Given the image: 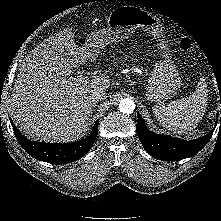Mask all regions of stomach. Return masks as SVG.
I'll use <instances>...</instances> for the list:
<instances>
[{"label":"stomach","instance_id":"obj_1","mask_svg":"<svg viewBox=\"0 0 221 221\" xmlns=\"http://www.w3.org/2000/svg\"><path fill=\"white\" fill-rule=\"evenodd\" d=\"M138 28L157 39L159 48L165 50L160 20L136 6H119L113 9L107 19V27L87 35L85 48L97 54L106 45L129 38ZM180 86L179 72L169 59L168 53L164 52V59L157 63L151 72L146 98L151 102L161 103L175 94Z\"/></svg>","mask_w":221,"mask_h":221}]
</instances>
